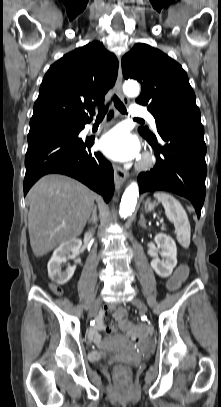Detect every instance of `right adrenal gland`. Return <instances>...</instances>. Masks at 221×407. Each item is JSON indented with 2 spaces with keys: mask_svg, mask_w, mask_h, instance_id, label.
Masks as SVG:
<instances>
[{
  "mask_svg": "<svg viewBox=\"0 0 221 407\" xmlns=\"http://www.w3.org/2000/svg\"><path fill=\"white\" fill-rule=\"evenodd\" d=\"M91 222H93V223L97 222V207L96 206H94L92 217L90 218L88 223H91Z\"/></svg>",
  "mask_w": 221,
  "mask_h": 407,
  "instance_id": "right-adrenal-gland-1",
  "label": "right adrenal gland"
}]
</instances>
